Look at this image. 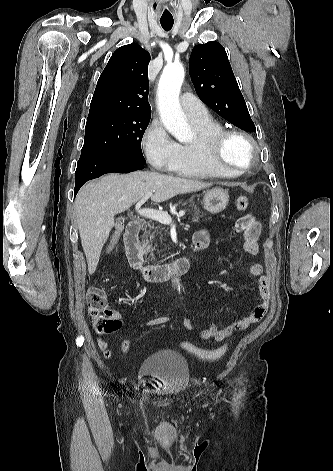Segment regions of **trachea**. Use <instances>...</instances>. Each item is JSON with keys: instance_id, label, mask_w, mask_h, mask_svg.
<instances>
[{"instance_id": "trachea-1", "label": "trachea", "mask_w": 333, "mask_h": 471, "mask_svg": "<svg viewBox=\"0 0 333 471\" xmlns=\"http://www.w3.org/2000/svg\"><path fill=\"white\" fill-rule=\"evenodd\" d=\"M174 24V20H161V26L165 31H169Z\"/></svg>"}]
</instances>
